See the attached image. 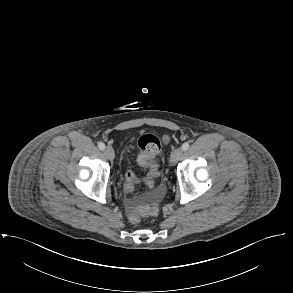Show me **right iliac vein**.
<instances>
[{"mask_svg":"<svg viewBox=\"0 0 293 293\" xmlns=\"http://www.w3.org/2000/svg\"><path fill=\"white\" fill-rule=\"evenodd\" d=\"M104 154L109 160H113L115 157V152L112 147H106L104 149Z\"/></svg>","mask_w":293,"mask_h":293,"instance_id":"obj_1","label":"right iliac vein"}]
</instances>
